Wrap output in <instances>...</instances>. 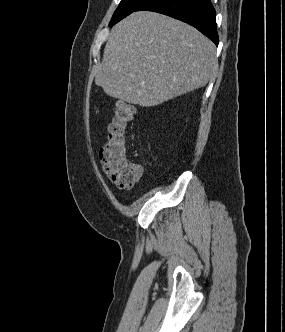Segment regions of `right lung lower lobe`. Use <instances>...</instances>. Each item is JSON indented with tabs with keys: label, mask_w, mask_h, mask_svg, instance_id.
Listing matches in <instances>:
<instances>
[{
	"label": "right lung lower lobe",
	"mask_w": 285,
	"mask_h": 332,
	"mask_svg": "<svg viewBox=\"0 0 285 332\" xmlns=\"http://www.w3.org/2000/svg\"><path fill=\"white\" fill-rule=\"evenodd\" d=\"M142 10L162 13L186 22L218 45L216 12L209 0H147L135 11Z\"/></svg>",
	"instance_id": "right-lung-lower-lobe-1"
}]
</instances>
